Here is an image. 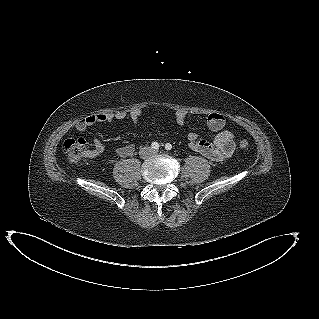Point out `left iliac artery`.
Returning a JSON list of instances; mask_svg holds the SVG:
<instances>
[{"label": "left iliac artery", "instance_id": "44dca946", "mask_svg": "<svg viewBox=\"0 0 319 319\" xmlns=\"http://www.w3.org/2000/svg\"><path fill=\"white\" fill-rule=\"evenodd\" d=\"M165 149H166L167 151L171 150V149H172V145H171L170 143H167V144L165 145Z\"/></svg>", "mask_w": 319, "mask_h": 319}]
</instances>
